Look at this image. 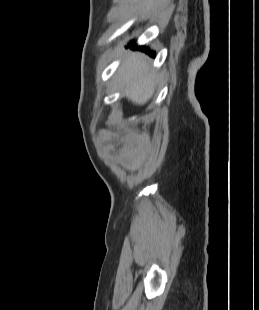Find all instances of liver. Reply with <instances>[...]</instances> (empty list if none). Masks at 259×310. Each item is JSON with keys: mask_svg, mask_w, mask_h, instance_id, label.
Here are the masks:
<instances>
[{"mask_svg": "<svg viewBox=\"0 0 259 310\" xmlns=\"http://www.w3.org/2000/svg\"><path fill=\"white\" fill-rule=\"evenodd\" d=\"M124 95L137 105H144L152 97L157 78L149 71V63L141 53L131 54L118 71Z\"/></svg>", "mask_w": 259, "mask_h": 310, "instance_id": "1", "label": "liver"}]
</instances>
